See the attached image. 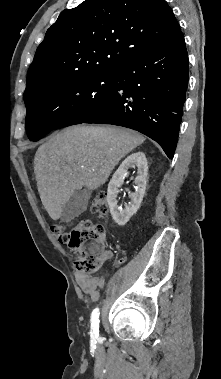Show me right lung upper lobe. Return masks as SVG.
Segmentation results:
<instances>
[{
    "label": "right lung upper lobe",
    "mask_w": 221,
    "mask_h": 379,
    "mask_svg": "<svg viewBox=\"0 0 221 379\" xmlns=\"http://www.w3.org/2000/svg\"><path fill=\"white\" fill-rule=\"evenodd\" d=\"M179 30L165 0H85L47 30L28 70L24 101L76 77L118 69Z\"/></svg>",
    "instance_id": "right-lung-upper-lobe-1"
}]
</instances>
